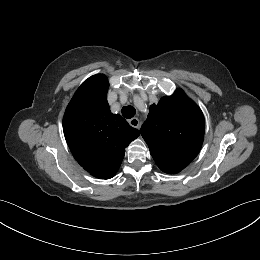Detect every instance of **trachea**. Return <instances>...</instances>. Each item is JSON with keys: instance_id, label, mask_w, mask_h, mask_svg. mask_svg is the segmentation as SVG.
<instances>
[{"instance_id": "trachea-1", "label": "trachea", "mask_w": 260, "mask_h": 260, "mask_svg": "<svg viewBox=\"0 0 260 260\" xmlns=\"http://www.w3.org/2000/svg\"><path fill=\"white\" fill-rule=\"evenodd\" d=\"M136 113V110L133 106H124L122 108V115L127 118L130 119L132 118Z\"/></svg>"}]
</instances>
